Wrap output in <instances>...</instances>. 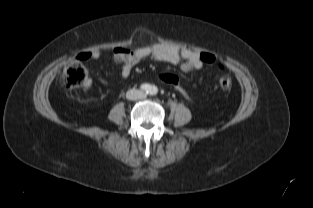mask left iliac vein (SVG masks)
<instances>
[{
  "label": "left iliac vein",
  "instance_id": "4c4485c4",
  "mask_svg": "<svg viewBox=\"0 0 313 208\" xmlns=\"http://www.w3.org/2000/svg\"><path fill=\"white\" fill-rule=\"evenodd\" d=\"M140 97H141V98H145L146 95H145V94H141Z\"/></svg>",
  "mask_w": 313,
  "mask_h": 208
}]
</instances>
